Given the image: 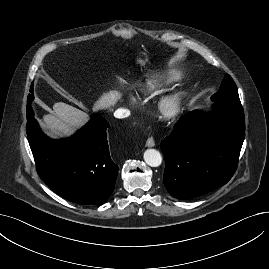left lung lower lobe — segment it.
<instances>
[{"label":"left lung lower lobe","mask_w":269,"mask_h":269,"mask_svg":"<svg viewBox=\"0 0 269 269\" xmlns=\"http://www.w3.org/2000/svg\"><path fill=\"white\" fill-rule=\"evenodd\" d=\"M245 137L241 102H216L211 115L183 116L161 142L163 182L177 199H192L226 184L236 171Z\"/></svg>","instance_id":"1"}]
</instances>
